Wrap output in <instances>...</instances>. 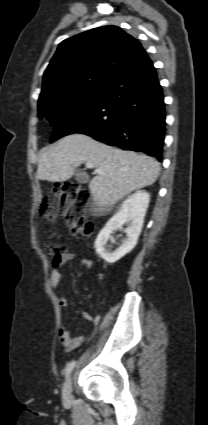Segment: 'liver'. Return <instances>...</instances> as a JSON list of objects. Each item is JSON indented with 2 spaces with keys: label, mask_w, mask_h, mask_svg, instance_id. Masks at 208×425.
Returning a JSON list of instances; mask_svg holds the SVG:
<instances>
[{
  "label": "liver",
  "mask_w": 208,
  "mask_h": 425,
  "mask_svg": "<svg viewBox=\"0 0 208 425\" xmlns=\"http://www.w3.org/2000/svg\"><path fill=\"white\" fill-rule=\"evenodd\" d=\"M87 162L103 171L89 184L95 204L102 209H110L132 191L152 185L160 171V163L152 157L116 149L76 133L62 138L42 153L37 178L65 181L73 176L79 165Z\"/></svg>",
  "instance_id": "obj_1"
}]
</instances>
